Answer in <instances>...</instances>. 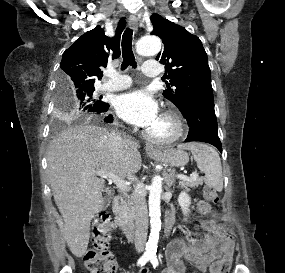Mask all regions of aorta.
I'll list each match as a JSON object with an SVG mask.
<instances>
[{"label":"aorta","mask_w":285,"mask_h":273,"mask_svg":"<svg viewBox=\"0 0 285 273\" xmlns=\"http://www.w3.org/2000/svg\"><path fill=\"white\" fill-rule=\"evenodd\" d=\"M137 53L142 56H154L161 50V41L155 36L141 38L136 47ZM161 193L162 178L156 175L152 179L149 188V216H150V235L146 244V254L155 255L158 246L159 234L161 230Z\"/></svg>","instance_id":"obj_1"}]
</instances>
